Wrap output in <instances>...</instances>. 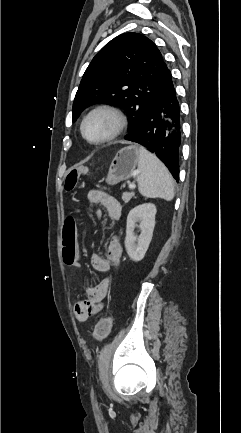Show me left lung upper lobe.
I'll return each mask as SVG.
<instances>
[{
	"instance_id": "5c2ea615",
	"label": "left lung upper lobe",
	"mask_w": 241,
	"mask_h": 433,
	"mask_svg": "<svg viewBox=\"0 0 241 433\" xmlns=\"http://www.w3.org/2000/svg\"><path fill=\"white\" fill-rule=\"evenodd\" d=\"M169 71L150 39L138 33L117 36L86 69L74 99L73 121L89 105L111 102L126 111L133 131L163 90Z\"/></svg>"
}]
</instances>
